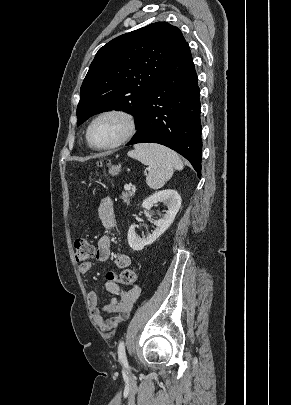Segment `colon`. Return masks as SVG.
Wrapping results in <instances>:
<instances>
[{
    "instance_id": "obj_1",
    "label": "colon",
    "mask_w": 291,
    "mask_h": 405,
    "mask_svg": "<svg viewBox=\"0 0 291 405\" xmlns=\"http://www.w3.org/2000/svg\"><path fill=\"white\" fill-rule=\"evenodd\" d=\"M75 258L80 264L87 262L93 255V246L86 239H77L74 242ZM107 279L117 284L130 285L135 283L137 274L132 269H124L118 275L109 273Z\"/></svg>"
}]
</instances>
